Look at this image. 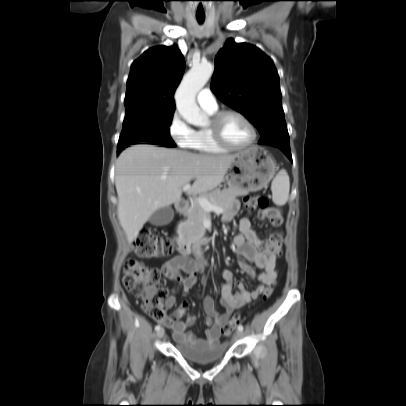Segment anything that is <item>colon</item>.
Returning <instances> with one entry per match:
<instances>
[{"instance_id":"5ec220e1","label":"colon","mask_w":406,"mask_h":406,"mask_svg":"<svg viewBox=\"0 0 406 406\" xmlns=\"http://www.w3.org/2000/svg\"><path fill=\"white\" fill-rule=\"evenodd\" d=\"M245 204L250 210L259 209L260 218L267 220L273 226L282 224L280 210L269 206L266 197L260 195L246 197ZM134 247L136 254L143 258L169 256L174 250V245L170 239L150 228L140 230L134 239ZM281 247L282 236L274 234L266 241L265 253L279 255ZM123 271L125 289L140 296L146 313L154 320L162 322L166 316L162 301L167 297L168 292L161 286L160 271L146 266L136 259H128L124 264ZM272 293L273 286L268 285L263 291V299L267 300ZM241 323L240 314H234L230 320L222 325V334L229 335Z\"/></svg>"}]
</instances>
